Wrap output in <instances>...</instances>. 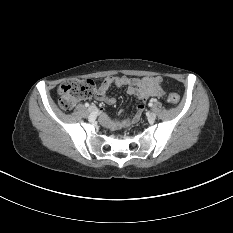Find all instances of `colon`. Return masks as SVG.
Instances as JSON below:
<instances>
[{
	"label": "colon",
	"instance_id": "obj_1",
	"mask_svg": "<svg viewBox=\"0 0 233 233\" xmlns=\"http://www.w3.org/2000/svg\"><path fill=\"white\" fill-rule=\"evenodd\" d=\"M96 90V86L91 79H76L62 83L58 88L59 105L65 110H71L77 101L91 97ZM180 96L177 93H170L168 101L177 104Z\"/></svg>",
	"mask_w": 233,
	"mask_h": 233
}]
</instances>
